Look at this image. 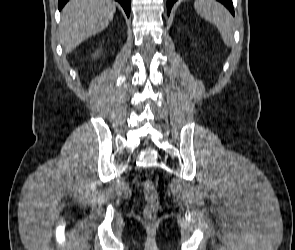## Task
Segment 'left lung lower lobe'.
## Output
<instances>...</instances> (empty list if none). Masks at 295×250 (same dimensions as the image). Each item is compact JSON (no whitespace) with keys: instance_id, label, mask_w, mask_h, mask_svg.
Listing matches in <instances>:
<instances>
[{"instance_id":"left-lung-lower-lobe-1","label":"left lung lower lobe","mask_w":295,"mask_h":250,"mask_svg":"<svg viewBox=\"0 0 295 250\" xmlns=\"http://www.w3.org/2000/svg\"><path fill=\"white\" fill-rule=\"evenodd\" d=\"M177 0H167V12L168 15L170 14L172 5L176 2ZM219 2H221L222 4H224L229 11L232 13V15H234V9H233V4H232V0H218Z\"/></svg>"}]
</instances>
